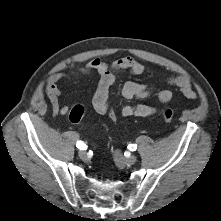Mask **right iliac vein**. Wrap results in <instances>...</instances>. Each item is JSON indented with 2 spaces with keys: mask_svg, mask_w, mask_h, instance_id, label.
I'll use <instances>...</instances> for the list:
<instances>
[{
  "mask_svg": "<svg viewBox=\"0 0 221 221\" xmlns=\"http://www.w3.org/2000/svg\"><path fill=\"white\" fill-rule=\"evenodd\" d=\"M79 157H80L82 160H87V159H88V154H87L86 151L81 150V151H79Z\"/></svg>",
  "mask_w": 221,
  "mask_h": 221,
  "instance_id": "1",
  "label": "right iliac vein"
}]
</instances>
